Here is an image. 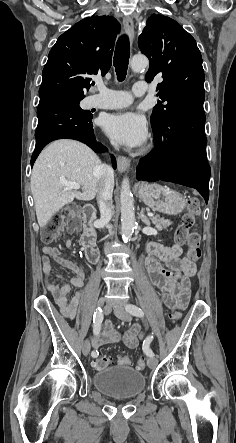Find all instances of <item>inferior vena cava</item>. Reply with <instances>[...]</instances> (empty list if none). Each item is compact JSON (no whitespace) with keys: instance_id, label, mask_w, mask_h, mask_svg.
Here are the masks:
<instances>
[{"instance_id":"inferior-vena-cava-1","label":"inferior vena cava","mask_w":236,"mask_h":443,"mask_svg":"<svg viewBox=\"0 0 236 443\" xmlns=\"http://www.w3.org/2000/svg\"><path fill=\"white\" fill-rule=\"evenodd\" d=\"M117 148V144L112 142ZM99 177V188L97 191V202L100 210V223L105 226L112 218L114 188V170L108 165H101L97 169Z\"/></svg>"}]
</instances>
